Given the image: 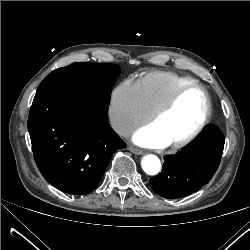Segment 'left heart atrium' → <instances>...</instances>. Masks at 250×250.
Listing matches in <instances>:
<instances>
[{
  "instance_id": "left-heart-atrium-1",
  "label": "left heart atrium",
  "mask_w": 250,
  "mask_h": 250,
  "mask_svg": "<svg viewBox=\"0 0 250 250\" xmlns=\"http://www.w3.org/2000/svg\"><path fill=\"white\" fill-rule=\"evenodd\" d=\"M133 140L135 143L149 148H160L169 144L152 125L136 131L133 135Z\"/></svg>"
}]
</instances>
